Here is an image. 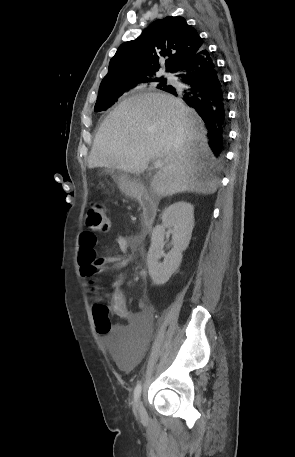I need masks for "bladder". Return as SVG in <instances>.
<instances>
[{
    "instance_id": "bladder-1",
    "label": "bladder",
    "mask_w": 295,
    "mask_h": 457,
    "mask_svg": "<svg viewBox=\"0 0 295 457\" xmlns=\"http://www.w3.org/2000/svg\"><path fill=\"white\" fill-rule=\"evenodd\" d=\"M105 347H112L111 353L117 366L128 370L139 364L148 338H105Z\"/></svg>"
}]
</instances>
